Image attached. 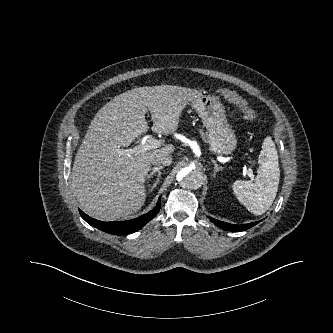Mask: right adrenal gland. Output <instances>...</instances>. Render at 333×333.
I'll return each mask as SVG.
<instances>
[{
  "label": "right adrenal gland",
  "instance_id": "1",
  "mask_svg": "<svg viewBox=\"0 0 333 333\" xmlns=\"http://www.w3.org/2000/svg\"><path fill=\"white\" fill-rule=\"evenodd\" d=\"M163 168V166H159V167H155L152 169V172L148 175V179L150 180V178H152L154 175H157V179L155 181V183L151 186L150 191H153V189L157 186V184L159 183L160 179V175L161 172L160 170Z\"/></svg>",
  "mask_w": 333,
  "mask_h": 333
}]
</instances>
